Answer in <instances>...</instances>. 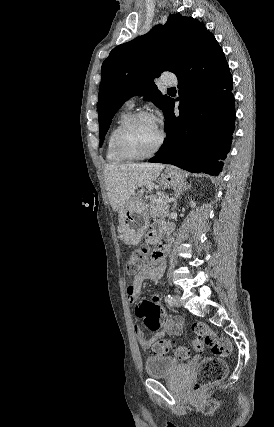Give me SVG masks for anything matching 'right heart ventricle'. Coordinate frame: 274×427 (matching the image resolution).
Returning <instances> with one entry per match:
<instances>
[{"label": "right heart ventricle", "instance_id": "right-heart-ventricle-1", "mask_svg": "<svg viewBox=\"0 0 274 427\" xmlns=\"http://www.w3.org/2000/svg\"><path fill=\"white\" fill-rule=\"evenodd\" d=\"M129 116H130L129 109H125L124 111H122L118 115V117L115 119L114 123L112 124L108 132L107 139H106V146H105V156H106V160L110 164H124L127 162V160L124 157H122L116 150L114 146V136L119 125Z\"/></svg>", "mask_w": 274, "mask_h": 427}]
</instances>
